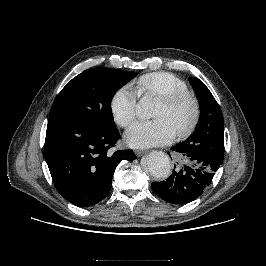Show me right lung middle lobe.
I'll return each instance as SVG.
<instances>
[{"label":"right lung middle lobe","instance_id":"1","mask_svg":"<svg viewBox=\"0 0 266 266\" xmlns=\"http://www.w3.org/2000/svg\"><path fill=\"white\" fill-rule=\"evenodd\" d=\"M135 72L92 68L74 77L61 90L49 118L62 117L113 128L111 101L115 93L136 77Z\"/></svg>","mask_w":266,"mask_h":266}]
</instances>
